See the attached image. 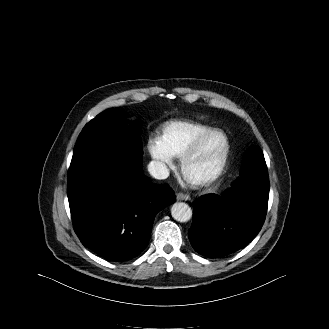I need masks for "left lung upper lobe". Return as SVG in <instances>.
I'll use <instances>...</instances> for the list:
<instances>
[{
  "label": "left lung upper lobe",
  "instance_id": "1",
  "mask_svg": "<svg viewBox=\"0 0 329 329\" xmlns=\"http://www.w3.org/2000/svg\"><path fill=\"white\" fill-rule=\"evenodd\" d=\"M250 166V167H266V162L264 159V155L261 149L255 148L252 150L249 154H247L245 161H244V167Z\"/></svg>",
  "mask_w": 329,
  "mask_h": 329
}]
</instances>
